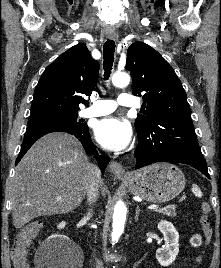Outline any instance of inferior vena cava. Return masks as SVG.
Returning <instances> with one entry per match:
<instances>
[{
  "mask_svg": "<svg viewBox=\"0 0 221 268\" xmlns=\"http://www.w3.org/2000/svg\"><path fill=\"white\" fill-rule=\"evenodd\" d=\"M101 172L97 166H94V177L87 191V201L89 204L95 203L101 183ZM93 210L89 209L87 216L91 217Z\"/></svg>",
  "mask_w": 221,
  "mask_h": 268,
  "instance_id": "602c4592",
  "label": "inferior vena cava"
}]
</instances>
